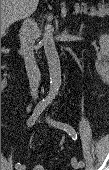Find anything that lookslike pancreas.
<instances>
[{
	"mask_svg": "<svg viewBox=\"0 0 109 170\" xmlns=\"http://www.w3.org/2000/svg\"><path fill=\"white\" fill-rule=\"evenodd\" d=\"M76 8H78L81 13L88 14L91 17H105L109 14V8L104 5L99 6L98 10H96L95 8H91L89 12L87 6H82L80 8L78 5H76Z\"/></svg>",
	"mask_w": 109,
	"mask_h": 170,
	"instance_id": "cf45deb5",
	"label": "pancreas"
}]
</instances>
